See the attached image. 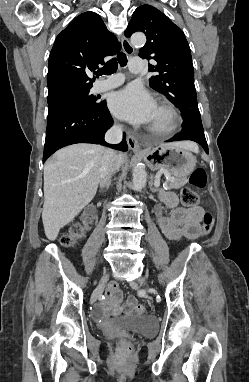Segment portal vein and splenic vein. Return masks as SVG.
Wrapping results in <instances>:
<instances>
[{
	"mask_svg": "<svg viewBox=\"0 0 249 382\" xmlns=\"http://www.w3.org/2000/svg\"><path fill=\"white\" fill-rule=\"evenodd\" d=\"M175 178L174 177H171L169 178L168 180L169 181H173ZM160 185V180L159 179H156V182H155V186L158 187Z\"/></svg>",
	"mask_w": 249,
	"mask_h": 382,
	"instance_id": "1",
	"label": "portal vein and splenic vein"
}]
</instances>
